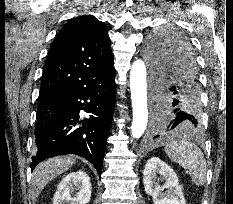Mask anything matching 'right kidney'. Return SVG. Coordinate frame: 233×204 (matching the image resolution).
Segmentation results:
<instances>
[{"mask_svg": "<svg viewBox=\"0 0 233 204\" xmlns=\"http://www.w3.org/2000/svg\"><path fill=\"white\" fill-rule=\"evenodd\" d=\"M91 198V183L84 171L71 172L57 187L54 204H87Z\"/></svg>", "mask_w": 233, "mask_h": 204, "instance_id": "obj_1", "label": "right kidney"}]
</instances>
